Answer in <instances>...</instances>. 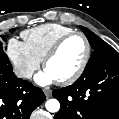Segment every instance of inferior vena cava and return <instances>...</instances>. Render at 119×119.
Segmentation results:
<instances>
[{"instance_id": "inferior-vena-cava-1", "label": "inferior vena cava", "mask_w": 119, "mask_h": 119, "mask_svg": "<svg viewBox=\"0 0 119 119\" xmlns=\"http://www.w3.org/2000/svg\"><path fill=\"white\" fill-rule=\"evenodd\" d=\"M14 73L19 78H31L33 75V71L24 69H15Z\"/></svg>"}]
</instances>
